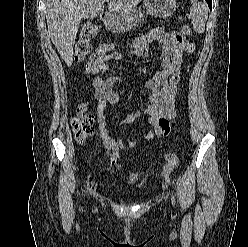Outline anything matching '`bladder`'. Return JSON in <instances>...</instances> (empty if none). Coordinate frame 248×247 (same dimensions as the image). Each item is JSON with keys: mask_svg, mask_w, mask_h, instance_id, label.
Instances as JSON below:
<instances>
[{"mask_svg": "<svg viewBox=\"0 0 248 247\" xmlns=\"http://www.w3.org/2000/svg\"><path fill=\"white\" fill-rule=\"evenodd\" d=\"M146 179H147L146 173L140 171V172H137V173L133 174L132 176H130L128 179V182L129 183H138V182L145 181Z\"/></svg>", "mask_w": 248, "mask_h": 247, "instance_id": "31cf9c89", "label": "bladder"}]
</instances>
